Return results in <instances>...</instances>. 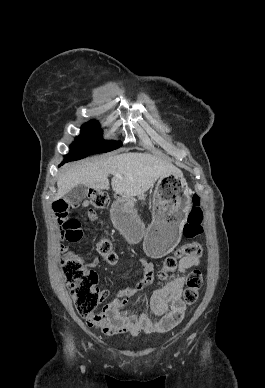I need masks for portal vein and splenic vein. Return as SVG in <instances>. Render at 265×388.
<instances>
[{
  "mask_svg": "<svg viewBox=\"0 0 265 388\" xmlns=\"http://www.w3.org/2000/svg\"><path fill=\"white\" fill-rule=\"evenodd\" d=\"M115 176H117V178H122V176H120V174H115ZM123 180V178H122Z\"/></svg>",
  "mask_w": 265,
  "mask_h": 388,
  "instance_id": "portal-vein-and-splenic-vein-1",
  "label": "portal vein and splenic vein"
}]
</instances>
